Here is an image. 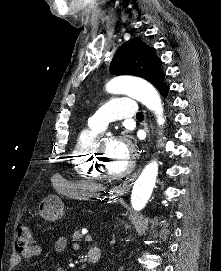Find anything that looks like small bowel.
I'll return each mask as SVG.
<instances>
[{
  "label": "small bowel",
  "mask_w": 221,
  "mask_h": 271,
  "mask_svg": "<svg viewBox=\"0 0 221 271\" xmlns=\"http://www.w3.org/2000/svg\"><path fill=\"white\" fill-rule=\"evenodd\" d=\"M66 246H67V240L64 237H59L54 242V249L57 252H63L65 250ZM74 248L78 249L79 245L74 244ZM41 252H42L41 246H39V245L29 246L26 249H24L21 253H14L11 256L10 263L13 267H17L21 264L22 259L33 258V257L41 254ZM57 271H63V269L59 268V269H57Z\"/></svg>",
  "instance_id": "c3829d8e"
}]
</instances>
